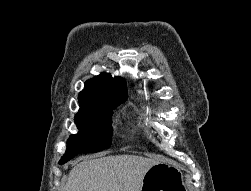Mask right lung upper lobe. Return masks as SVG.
Wrapping results in <instances>:
<instances>
[{
	"mask_svg": "<svg viewBox=\"0 0 251 191\" xmlns=\"http://www.w3.org/2000/svg\"><path fill=\"white\" fill-rule=\"evenodd\" d=\"M124 79L112 78L109 73H101L85 82L84 90L79 93L80 109L105 107L121 104L127 99Z\"/></svg>",
	"mask_w": 251,
	"mask_h": 191,
	"instance_id": "right-lung-upper-lobe-1",
	"label": "right lung upper lobe"
}]
</instances>
